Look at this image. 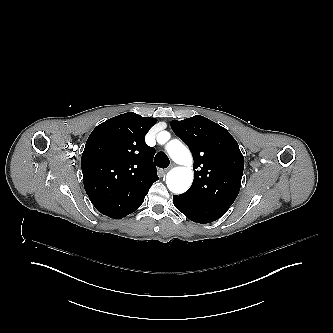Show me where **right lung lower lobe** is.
Segmentation results:
<instances>
[{"label":"right lung lower lobe","instance_id":"1","mask_svg":"<svg viewBox=\"0 0 333 333\" xmlns=\"http://www.w3.org/2000/svg\"><path fill=\"white\" fill-rule=\"evenodd\" d=\"M85 191L102 214L123 218L137 210L158 176L116 177L108 163L99 159L82 168Z\"/></svg>","mask_w":333,"mask_h":333}]
</instances>
